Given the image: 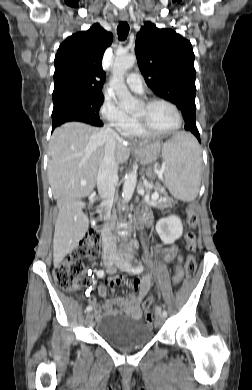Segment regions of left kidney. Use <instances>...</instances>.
I'll use <instances>...</instances> for the list:
<instances>
[{
    "label": "left kidney",
    "mask_w": 252,
    "mask_h": 390,
    "mask_svg": "<svg viewBox=\"0 0 252 390\" xmlns=\"http://www.w3.org/2000/svg\"><path fill=\"white\" fill-rule=\"evenodd\" d=\"M156 231L165 244H172L182 236L181 219L175 215L162 218L156 224Z\"/></svg>",
    "instance_id": "1"
}]
</instances>
